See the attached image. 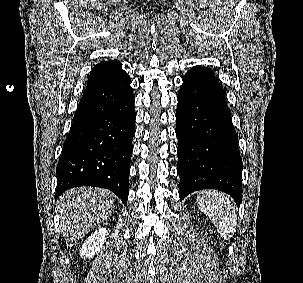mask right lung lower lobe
<instances>
[{
	"instance_id": "1",
	"label": "right lung lower lobe",
	"mask_w": 303,
	"mask_h": 283,
	"mask_svg": "<svg viewBox=\"0 0 303 283\" xmlns=\"http://www.w3.org/2000/svg\"><path fill=\"white\" fill-rule=\"evenodd\" d=\"M130 83L125 72L84 90L57 164V197L74 187L94 186L127 204L136 118Z\"/></svg>"
}]
</instances>
